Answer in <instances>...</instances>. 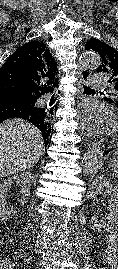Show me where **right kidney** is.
Returning a JSON list of instances; mask_svg holds the SVG:
<instances>
[{"instance_id":"obj_1","label":"right kidney","mask_w":118,"mask_h":269,"mask_svg":"<svg viewBox=\"0 0 118 269\" xmlns=\"http://www.w3.org/2000/svg\"><path fill=\"white\" fill-rule=\"evenodd\" d=\"M34 178L31 172H22L5 179L0 184V218L2 220H7L14 212L13 206H9L7 203L8 193L13 184L21 185V193L27 196L29 194V188L34 182ZM22 201L27 202V199L24 197Z\"/></svg>"}]
</instances>
